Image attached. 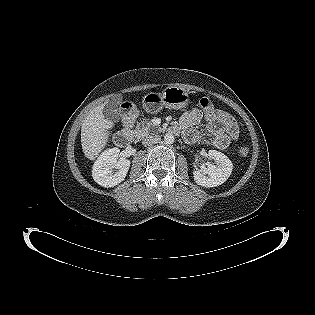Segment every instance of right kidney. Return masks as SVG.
I'll use <instances>...</instances> for the list:
<instances>
[{"label": "right kidney", "instance_id": "obj_1", "mask_svg": "<svg viewBox=\"0 0 315 315\" xmlns=\"http://www.w3.org/2000/svg\"><path fill=\"white\" fill-rule=\"evenodd\" d=\"M118 148L105 150L95 161L92 176L96 183L103 187H114L121 183L127 175L131 162L119 159ZM117 170H113V169Z\"/></svg>", "mask_w": 315, "mask_h": 315}]
</instances>
